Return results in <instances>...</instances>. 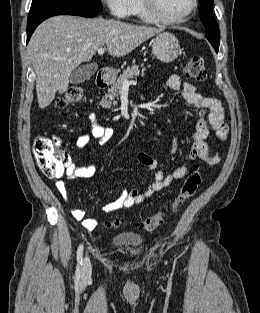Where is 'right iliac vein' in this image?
<instances>
[{
    "label": "right iliac vein",
    "mask_w": 260,
    "mask_h": 313,
    "mask_svg": "<svg viewBox=\"0 0 260 313\" xmlns=\"http://www.w3.org/2000/svg\"><path fill=\"white\" fill-rule=\"evenodd\" d=\"M91 270H92L91 262L89 256L86 254L82 266V278L87 279L91 275Z\"/></svg>",
    "instance_id": "obj_1"
}]
</instances>
